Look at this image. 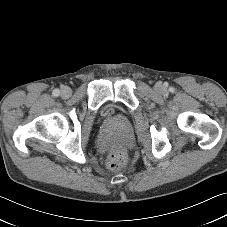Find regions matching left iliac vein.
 <instances>
[{"label":"left iliac vein","mask_w":227,"mask_h":227,"mask_svg":"<svg viewBox=\"0 0 227 227\" xmlns=\"http://www.w3.org/2000/svg\"><path fill=\"white\" fill-rule=\"evenodd\" d=\"M157 89L160 90V86H158Z\"/></svg>","instance_id":"left-iliac-vein-1"}]
</instances>
